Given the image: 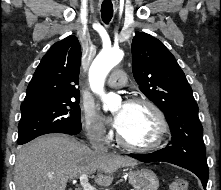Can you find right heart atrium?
<instances>
[{
	"instance_id": "obj_1",
	"label": "right heart atrium",
	"mask_w": 221,
	"mask_h": 190,
	"mask_svg": "<svg viewBox=\"0 0 221 190\" xmlns=\"http://www.w3.org/2000/svg\"><path fill=\"white\" fill-rule=\"evenodd\" d=\"M82 126L91 141L101 144L109 141V131L93 107L82 108Z\"/></svg>"
}]
</instances>
